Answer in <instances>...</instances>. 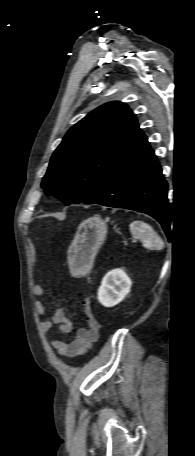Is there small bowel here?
<instances>
[{"label":"small bowel","instance_id":"1","mask_svg":"<svg viewBox=\"0 0 195 456\" xmlns=\"http://www.w3.org/2000/svg\"><path fill=\"white\" fill-rule=\"evenodd\" d=\"M32 292L35 296L41 297L44 295V288L41 285H34ZM82 305L86 314L87 326L79 329L74 338L69 341L60 339H50V345L55 348L58 355L65 358H74L87 353L93 344L99 338L100 325L92 314L91 299L86 297L82 301ZM35 309L40 315H45L46 310L41 301L35 302ZM43 332L48 335L54 328H57L61 333H69L72 330V323L62 309L54 312L50 320H46L41 324Z\"/></svg>","mask_w":195,"mask_h":456}]
</instances>
